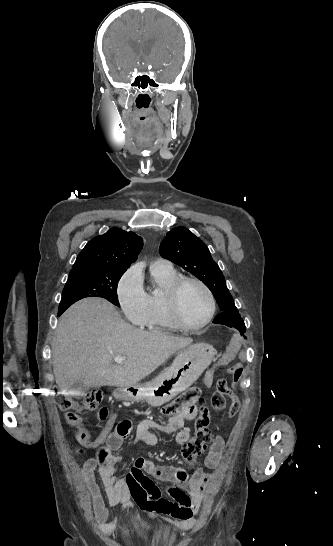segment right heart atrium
<instances>
[{
  "instance_id": "d8ad5b80",
  "label": "right heart atrium",
  "mask_w": 333,
  "mask_h": 546,
  "mask_svg": "<svg viewBox=\"0 0 333 546\" xmlns=\"http://www.w3.org/2000/svg\"><path fill=\"white\" fill-rule=\"evenodd\" d=\"M117 302L124 316L132 323L141 325L148 313V300L142 280L135 268L128 269L116 286Z\"/></svg>"
}]
</instances>
